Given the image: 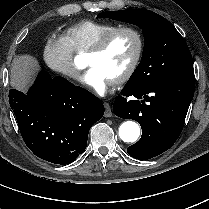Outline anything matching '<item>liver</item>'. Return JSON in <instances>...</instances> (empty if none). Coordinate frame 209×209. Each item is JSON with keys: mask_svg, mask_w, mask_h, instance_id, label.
<instances>
[{"mask_svg": "<svg viewBox=\"0 0 209 209\" xmlns=\"http://www.w3.org/2000/svg\"><path fill=\"white\" fill-rule=\"evenodd\" d=\"M38 68V61L30 55L14 58L11 68V86L24 91Z\"/></svg>", "mask_w": 209, "mask_h": 209, "instance_id": "obj_1", "label": "liver"}]
</instances>
